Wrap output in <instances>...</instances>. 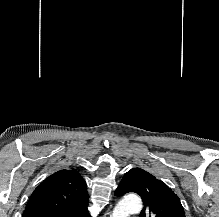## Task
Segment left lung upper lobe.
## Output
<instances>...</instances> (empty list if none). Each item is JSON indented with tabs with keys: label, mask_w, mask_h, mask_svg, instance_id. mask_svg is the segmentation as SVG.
Listing matches in <instances>:
<instances>
[{
	"label": "left lung upper lobe",
	"mask_w": 219,
	"mask_h": 217,
	"mask_svg": "<svg viewBox=\"0 0 219 217\" xmlns=\"http://www.w3.org/2000/svg\"><path fill=\"white\" fill-rule=\"evenodd\" d=\"M135 192L144 208L139 217H185L177 195L162 181L140 168L128 171L115 191V196Z\"/></svg>",
	"instance_id": "obj_1"
}]
</instances>
